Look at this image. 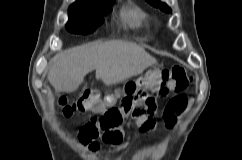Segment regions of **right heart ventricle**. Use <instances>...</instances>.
Wrapping results in <instances>:
<instances>
[{"label":"right heart ventricle","instance_id":"e07e8e85","mask_svg":"<svg viewBox=\"0 0 242 160\" xmlns=\"http://www.w3.org/2000/svg\"><path fill=\"white\" fill-rule=\"evenodd\" d=\"M122 17L133 26H141L148 21V15L138 7L125 9L122 12Z\"/></svg>","mask_w":242,"mask_h":160}]
</instances>
